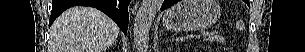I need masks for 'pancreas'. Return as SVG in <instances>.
<instances>
[{
	"label": "pancreas",
	"instance_id": "pancreas-1",
	"mask_svg": "<svg viewBox=\"0 0 305 52\" xmlns=\"http://www.w3.org/2000/svg\"><path fill=\"white\" fill-rule=\"evenodd\" d=\"M207 41L213 43V42H219V43H223L224 42V38L222 36L219 35H213V36H209L207 38Z\"/></svg>",
	"mask_w": 305,
	"mask_h": 52
}]
</instances>
